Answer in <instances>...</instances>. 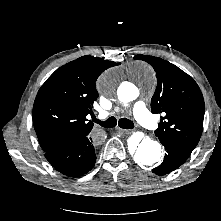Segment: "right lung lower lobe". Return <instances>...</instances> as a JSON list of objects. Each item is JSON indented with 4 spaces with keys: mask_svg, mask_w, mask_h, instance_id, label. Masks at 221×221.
Returning <instances> with one entry per match:
<instances>
[{
    "mask_svg": "<svg viewBox=\"0 0 221 221\" xmlns=\"http://www.w3.org/2000/svg\"><path fill=\"white\" fill-rule=\"evenodd\" d=\"M45 157L62 174L81 176L90 171L96 162L94 140L90 135L73 139L45 152Z\"/></svg>",
    "mask_w": 221,
    "mask_h": 221,
    "instance_id": "right-lung-lower-lobe-1",
    "label": "right lung lower lobe"
}]
</instances>
